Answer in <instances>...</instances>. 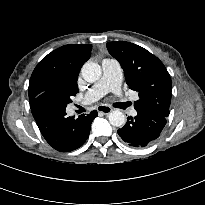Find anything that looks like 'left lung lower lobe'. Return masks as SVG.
Segmentation results:
<instances>
[{"mask_svg":"<svg viewBox=\"0 0 205 205\" xmlns=\"http://www.w3.org/2000/svg\"><path fill=\"white\" fill-rule=\"evenodd\" d=\"M165 125L166 117L137 111V116L127 118L126 124L118 130V134L129 146L145 147L159 137Z\"/></svg>","mask_w":205,"mask_h":205,"instance_id":"obj_1","label":"left lung lower lobe"}]
</instances>
